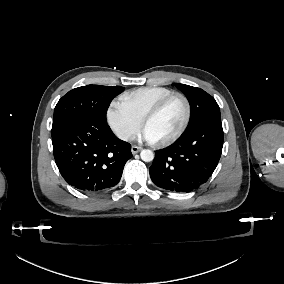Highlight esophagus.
<instances>
[{"mask_svg": "<svg viewBox=\"0 0 284 284\" xmlns=\"http://www.w3.org/2000/svg\"><path fill=\"white\" fill-rule=\"evenodd\" d=\"M142 150V147H139V146H136V145H133L132 148H131V151H132V154H137L138 152H140Z\"/></svg>", "mask_w": 284, "mask_h": 284, "instance_id": "esophagus-1", "label": "esophagus"}]
</instances>
